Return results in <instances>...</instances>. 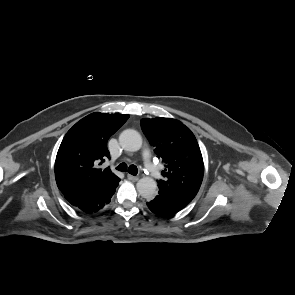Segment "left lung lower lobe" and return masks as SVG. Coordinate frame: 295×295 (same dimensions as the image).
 <instances>
[{"instance_id":"obj_1","label":"left lung lower lobe","mask_w":295,"mask_h":295,"mask_svg":"<svg viewBox=\"0 0 295 295\" xmlns=\"http://www.w3.org/2000/svg\"><path fill=\"white\" fill-rule=\"evenodd\" d=\"M191 201L192 198L159 189L158 195L147 202V206L156 215L166 217L176 214Z\"/></svg>"}]
</instances>
